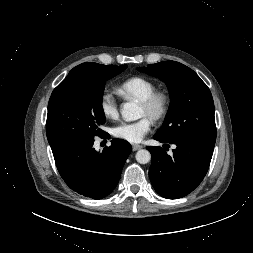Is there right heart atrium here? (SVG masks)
<instances>
[{
    "label": "right heart atrium",
    "instance_id": "right-heart-atrium-1",
    "mask_svg": "<svg viewBox=\"0 0 253 253\" xmlns=\"http://www.w3.org/2000/svg\"><path fill=\"white\" fill-rule=\"evenodd\" d=\"M99 109L106 118H116L119 114L118 100L113 92L104 90L99 98Z\"/></svg>",
    "mask_w": 253,
    "mask_h": 253
}]
</instances>
